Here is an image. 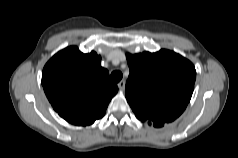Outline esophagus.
Returning a JSON list of instances; mask_svg holds the SVG:
<instances>
[{"label": "esophagus", "instance_id": "1", "mask_svg": "<svg viewBox=\"0 0 238 158\" xmlns=\"http://www.w3.org/2000/svg\"><path fill=\"white\" fill-rule=\"evenodd\" d=\"M118 88H119L120 91H124V89H125V80H121L118 83Z\"/></svg>", "mask_w": 238, "mask_h": 158}]
</instances>
